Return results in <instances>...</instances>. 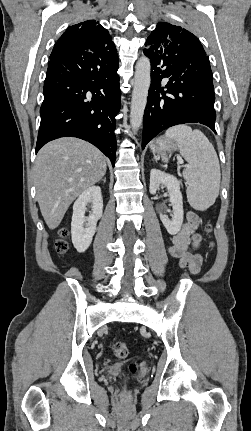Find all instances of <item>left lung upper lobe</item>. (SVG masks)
<instances>
[{
  "label": "left lung upper lobe",
  "instance_id": "1",
  "mask_svg": "<svg viewBox=\"0 0 251 431\" xmlns=\"http://www.w3.org/2000/svg\"><path fill=\"white\" fill-rule=\"evenodd\" d=\"M149 37L162 41L164 43H176L182 46L192 44L201 51L205 52L200 41L195 35L185 30L184 28H181L180 26H175L167 22H160L159 24H157V27L151 32V35Z\"/></svg>",
  "mask_w": 251,
  "mask_h": 431
}]
</instances>
